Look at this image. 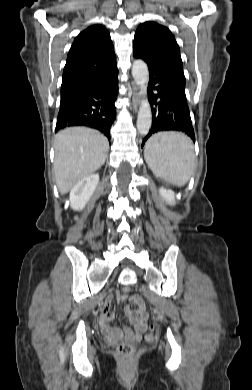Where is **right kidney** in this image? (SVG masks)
<instances>
[{
	"label": "right kidney",
	"mask_w": 252,
	"mask_h": 390,
	"mask_svg": "<svg viewBox=\"0 0 252 390\" xmlns=\"http://www.w3.org/2000/svg\"><path fill=\"white\" fill-rule=\"evenodd\" d=\"M99 182L98 174H91L90 176L80 180L70 191V204L74 210H82Z\"/></svg>",
	"instance_id": "right-kidney-1"
}]
</instances>
